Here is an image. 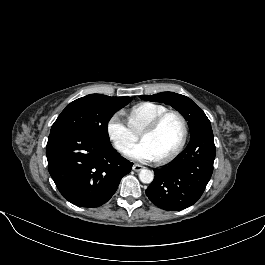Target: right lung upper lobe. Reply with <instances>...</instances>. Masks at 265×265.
<instances>
[{"label": "right lung upper lobe", "mask_w": 265, "mask_h": 265, "mask_svg": "<svg viewBox=\"0 0 265 265\" xmlns=\"http://www.w3.org/2000/svg\"><path fill=\"white\" fill-rule=\"evenodd\" d=\"M96 95H98L99 97H101L102 99H104L106 101H111V102L122 101L126 98V97H110V96L101 95V94H96Z\"/></svg>", "instance_id": "obj_1"}]
</instances>
